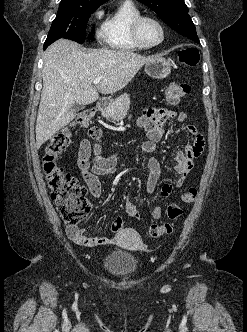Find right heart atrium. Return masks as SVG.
I'll use <instances>...</instances> for the list:
<instances>
[{"label": "right heart atrium", "instance_id": "obj_1", "mask_svg": "<svg viewBox=\"0 0 247 332\" xmlns=\"http://www.w3.org/2000/svg\"><path fill=\"white\" fill-rule=\"evenodd\" d=\"M100 15H101V11L98 10L97 12H95L94 17H95V18H98Z\"/></svg>", "mask_w": 247, "mask_h": 332}]
</instances>
